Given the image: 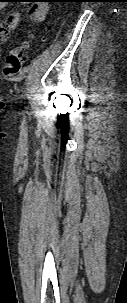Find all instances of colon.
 I'll return each instance as SVG.
<instances>
[{
  "label": "colon",
  "instance_id": "1",
  "mask_svg": "<svg viewBox=\"0 0 127 303\" xmlns=\"http://www.w3.org/2000/svg\"><path fill=\"white\" fill-rule=\"evenodd\" d=\"M28 44L26 42L20 43L16 45L13 49H11L6 57L5 67H4V75L7 77H11L16 75L23 63L22 50L27 48Z\"/></svg>",
  "mask_w": 127,
  "mask_h": 303
}]
</instances>
